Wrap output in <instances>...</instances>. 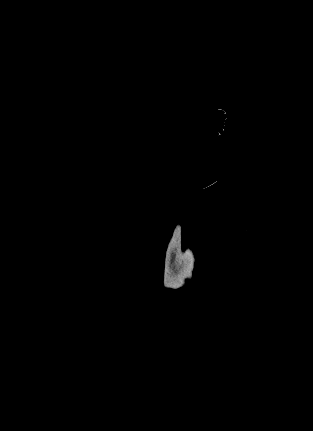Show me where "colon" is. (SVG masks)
<instances>
[{
    "mask_svg": "<svg viewBox=\"0 0 313 431\" xmlns=\"http://www.w3.org/2000/svg\"><path fill=\"white\" fill-rule=\"evenodd\" d=\"M228 121L231 123L233 121V118H230Z\"/></svg>",
    "mask_w": 313,
    "mask_h": 431,
    "instance_id": "1",
    "label": "colon"
}]
</instances>
